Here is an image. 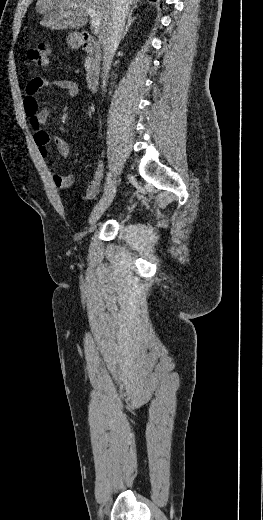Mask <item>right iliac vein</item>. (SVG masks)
Segmentation results:
<instances>
[{"instance_id": "right-iliac-vein-1", "label": "right iliac vein", "mask_w": 263, "mask_h": 520, "mask_svg": "<svg viewBox=\"0 0 263 520\" xmlns=\"http://www.w3.org/2000/svg\"><path fill=\"white\" fill-rule=\"evenodd\" d=\"M115 194H116V181H113V182H111L105 196L94 207V209L90 215L89 224L91 227L94 226L98 222V220L104 214L106 209L110 206V204L112 203V201L115 197Z\"/></svg>"}]
</instances>
